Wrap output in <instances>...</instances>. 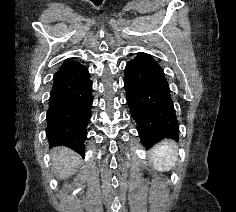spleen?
<instances>
[{
  "label": "spleen",
  "instance_id": "obj_1",
  "mask_svg": "<svg viewBox=\"0 0 236 212\" xmlns=\"http://www.w3.org/2000/svg\"><path fill=\"white\" fill-rule=\"evenodd\" d=\"M177 146L167 140L157 144L152 151V162L158 171H169L178 159Z\"/></svg>",
  "mask_w": 236,
  "mask_h": 212
}]
</instances>
